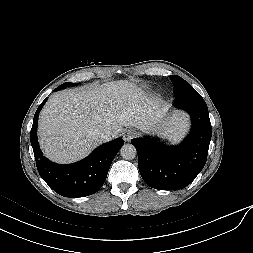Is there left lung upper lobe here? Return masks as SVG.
<instances>
[{
    "mask_svg": "<svg viewBox=\"0 0 253 253\" xmlns=\"http://www.w3.org/2000/svg\"><path fill=\"white\" fill-rule=\"evenodd\" d=\"M169 77L174 85L173 92L176 99L196 92L195 89L183 78L177 75H171Z\"/></svg>",
    "mask_w": 253,
    "mask_h": 253,
    "instance_id": "obj_1",
    "label": "left lung upper lobe"
}]
</instances>
